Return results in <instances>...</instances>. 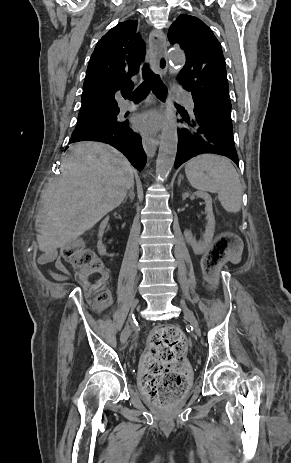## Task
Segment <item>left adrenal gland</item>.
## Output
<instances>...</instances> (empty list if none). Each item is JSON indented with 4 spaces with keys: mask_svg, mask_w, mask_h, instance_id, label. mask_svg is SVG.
Segmentation results:
<instances>
[{
    "mask_svg": "<svg viewBox=\"0 0 291 463\" xmlns=\"http://www.w3.org/2000/svg\"><path fill=\"white\" fill-rule=\"evenodd\" d=\"M181 179H182V176L180 175V177L178 179V186H180V184H181Z\"/></svg>",
    "mask_w": 291,
    "mask_h": 463,
    "instance_id": "a2214340",
    "label": "left adrenal gland"
}]
</instances>
